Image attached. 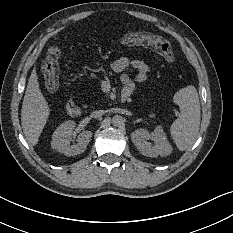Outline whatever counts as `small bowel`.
I'll use <instances>...</instances> for the list:
<instances>
[{
  "label": "small bowel",
  "instance_id": "obj_1",
  "mask_svg": "<svg viewBox=\"0 0 233 233\" xmlns=\"http://www.w3.org/2000/svg\"><path fill=\"white\" fill-rule=\"evenodd\" d=\"M132 67L134 74L126 72ZM111 69L120 75L122 84L121 97L123 100L129 99L135 91V82L143 83L147 80L151 67L143 59L130 60L127 57H119L111 63ZM106 88L109 87L107 82H104Z\"/></svg>",
  "mask_w": 233,
  "mask_h": 233
}]
</instances>
